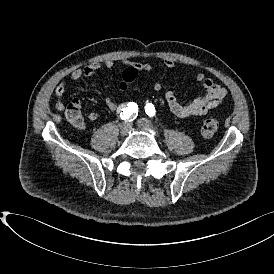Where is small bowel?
I'll use <instances>...</instances> for the list:
<instances>
[{"label": "small bowel", "instance_id": "obj_1", "mask_svg": "<svg viewBox=\"0 0 274 274\" xmlns=\"http://www.w3.org/2000/svg\"><path fill=\"white\" fill-rule=\"evenodd\" d=\"M120 63L124 66L134 67L138 71L150 73L154 71L152 64L148 62H136L129 59H123ZM163 64L167 68H175L176 62L171 58H165ZM115 65V62L111 59L103 60L102 62H92L86 65L85 67L75 69L70 78L72 81H77L83 77H93L102 67L106 69H112ZM195 81L200 83L204 88V93L196 97L189 103H181L174 92L167 91L165 93V100L170 111L179 118L185 119L191 116H199L206 114L210 109L218 106L221 101L226 96V89L217 83L213 78L208 77L205 72L200 71L195 75ZM129 83L123 84L120 83V88L125 90ZM92 85H97V81H93ZM155 91H159L162 88V84L159 81H155L152 85ZM66 89V82H60L55 90L56 103L55 109L57 111H62L64 109L63 95ZM73 102L80 106L78 99H74ZM104 103L108 110L112 112L119 111L120 106L110 97H106ZM99 118V115L96 112H90L86 116V121L93 123L96 122ZM75 127L78 129L85 128V122L80 118L78 122H72Z\"/></svg>", "mask_w": 274, "mask_h": 274}]
</instances>
